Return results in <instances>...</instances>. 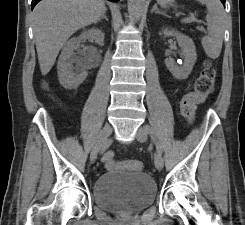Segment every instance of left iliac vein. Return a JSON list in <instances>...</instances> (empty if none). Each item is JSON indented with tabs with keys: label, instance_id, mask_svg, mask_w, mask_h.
<instances>
[{
	"label": "left iliac vein",
	"instance_id": "obj_1",
	"mask_svg": "<svg viewBox=\"0 0 245 225\" xmlns=\"http://www.w3.org/2000/svg\"><path fill=\"white\" fill-rule=\"evenodd\" d=\"M136 138L139 142H145L147 140V132L143 126L139 127L136 133ZM154 163L157 170H162L164 162L161 154L158 152H156L154 155Z\"/></svg>",
	"mask_w": 245,
	"mask_h": 225
}]
</instances>
